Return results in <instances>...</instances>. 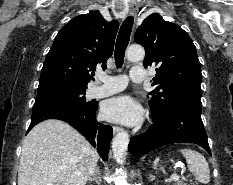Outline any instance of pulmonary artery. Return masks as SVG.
Masks as SVG:
<instances>
[{
  "label": "pulmonary artery",
  "instance_id": "pulmonary-artery-1",
  "mask_svg": "<svg viewBox=\"0 0 233 185\" xmlns=\"http://www.w3.org/2000/svg\"><path fill=\"white\" fill-rule=\"evenodd\" d=\"M145 77L144 68L132 67L130 69L129 78L132 81L142 82ZM97 80L98 84L92 88L91 94L93 97L100 98L122 91L127 85L128 77L125 75L109 76L100 72L97 74Z\"/></svg>",
  "mask_w": 233,
  "mask_h": 185
}]
</instances>
